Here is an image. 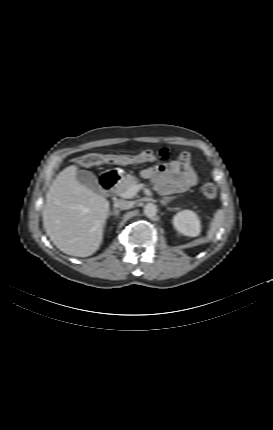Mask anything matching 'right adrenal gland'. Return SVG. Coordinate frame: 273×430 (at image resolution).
Returning a JSON list of instances; mask_svg holds the SVG:
<instances>
[{"mask_svg": "<svg viewBox=\"0 0 273 430\" xmlns=\"http://www.w3.org/2000/svg\"><path fill=\"white\" fill-rule=\"evenodd\" d=\"M119 213H120V210H118V209H113V211H109V212H108L107 217H109V216H111V215H113V216H115V217H119Z\"/></svg>", "mask_w": 273, "mask_h": 430, "instance_id": "obj_1", "label": "right adrenal gland"}]
</instances>
